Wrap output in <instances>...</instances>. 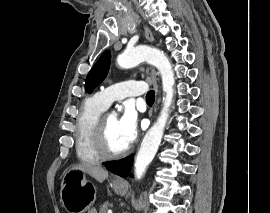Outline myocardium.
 I'll return each instance as SVG.
<instances>
[{
  "instance_id": "obj_1",
  "label": "myocardium",
  "mask_w": 270,
  "mask_h": 213,
  "mask_svg": "<svg viewBox=\"0 0 270 213\" xmlns=\"http://www.w3.org/2000/svg\"><path fill=\"white\" fill-rule=\"evenodd\" d=\"M92 141L96 152L104 160L119 159L128 152V148L119 152H112L108 149L106 143L105 116H100L97 119L92 133Z\"/></svg>"
}]
</instances>
